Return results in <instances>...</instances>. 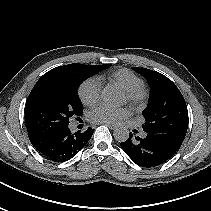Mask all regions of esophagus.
<instances>
[{
    "mask_svg": "<svg viewBox=\"0 0 211 211\" xmlns=\"http://www.w3.org/2000/svg\"><path fill=\"white\" fill-rule=\"evenodd\" d=\"M104 125H106L107 127H109L110 129L114 130L117 128L116 125L110 124V123H103Z\"/></svg>",
    "mask_w": 211,
    "mask_h": 211,
    "instance_id": "34e87169",
    "label": "esophagus"
}]
</instances>
